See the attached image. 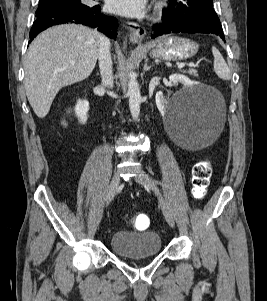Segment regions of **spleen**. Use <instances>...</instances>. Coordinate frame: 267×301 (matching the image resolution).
<instances>
[{
    "label": "spleen",
    "mask_w": 267,
    "mask_h": 301,
    "mask_svg": "<svg viewBox=\"0 0 267 301\" xmlns=\"http://www.w3.org/2000/svg\"><path fill=\"white\" fill-rule=\"evenodd\" d=\"M212 53L214 56V71L216 75L221 79L230 80L231 73L223 56L216 47H212Z\"/></svg>",
    "instance_id": "spleen-1"
}]
</instances>
